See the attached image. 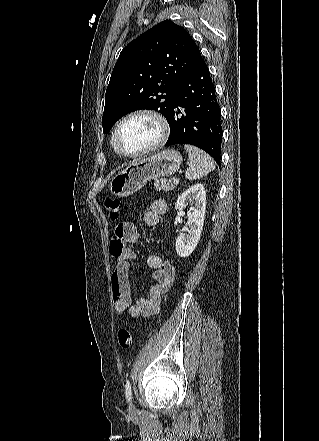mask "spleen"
Here are the masks:
<instances>
[{
  "mask_svg": "<svg viewBox=\"0 0 319 441\" xmlns=\"http://www.w3.org/2000/svg\"><path fill=\"white\" fill-rule=\"evenodd\" d=\"M184 149L188 152L190 160V166L185 173L187 179H199L215 169L214 160L201 149L192 145H184Z\"/></svg>",
  "mask_w": 319,
  "mask_h": 441,
  "instance_id": "obj_1",
  "label": "spleen"
}]
</instances>
